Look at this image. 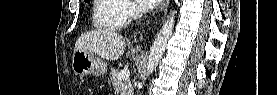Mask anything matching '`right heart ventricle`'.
Returning a JSON list of instances; mask_svg holds the SVG:
<instances>
[{"label":"right heart ventricle","mask_w":277,"mask_h":95,"mask_svg":"<svg viewBox=\"0 0 277 95\" xmlns=\"http://www.w3.org/2000/svg\"><path fill=\"white\" fill-rule=\"evenodd\" d=\"M92 15L94 27L103 31L118 29L127 19L122 0H94Z\"/></svg>","instance_id":"e07e8e85"}]
</instances>
